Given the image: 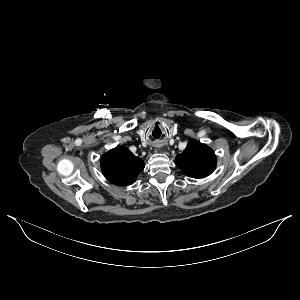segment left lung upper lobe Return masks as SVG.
Wrapping results in <instances>:
<instances>
[{
	"mask_svg": "<svg viewBox=\"0 0 300 300\" xmlns=\"http://www.w3.org/2000/svg\"><path fill=\"white\" fill-rule=\"evenodd\" d=\"M216 156L206 144L191 140L186 149L176 156V165L191 178H204L216 167Z\"/></svg>",
	"mask_w": 300,
	"mask_h": 300,
	"instance_id": "obj_1",
	"label": "left lung upper lobe"
}]
</instances>
